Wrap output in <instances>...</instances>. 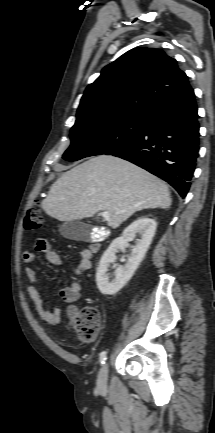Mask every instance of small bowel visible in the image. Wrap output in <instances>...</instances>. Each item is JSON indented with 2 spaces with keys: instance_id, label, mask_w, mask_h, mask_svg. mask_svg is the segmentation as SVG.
Masks as SVG:
<instances>
[{
  "instance_id": "c3829d8e",
  "label": "small bowel",
  "mask_w": 215,
  "mask_h": 433,
  "mask_svg": "<svg viewBox=\"0 0 215 433\" xmlns=\"http://www.w3.org/2000/svg\"><path fill=\"white\" fill-rule=\"evenodd\" d=\"M36 252L43 253L47 261L54 266H62L63 260L60 255L51 248L49 243L44 239H39L34 245ZM93 253L90 249H82L77 256L74 277L71 282L62 287L59 291V295L63 301L68 304L66 309V315L70 319H74L77 315V302L81 298L82 284L78 280V276L88 271L92 266ZM36 255L32 251H25L23 253V260L29 266L26 267L25 273L28 280L26 291L30 299L32 300L35 310L40 317L51 325H58L61 323L63 318V312L57 308H47L37 288V276L36 272L31 267L35 262Z\"/></svg>"
}]
</instances>
